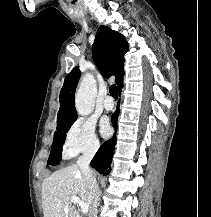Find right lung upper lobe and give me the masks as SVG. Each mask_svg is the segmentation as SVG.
<instances>
[{"label": "right lung upper lobe", "mask_w": 211, "mask_h": 217, "mask_svg": "<svg viewBox=\"0 0 211 217\" xmlns=\"http://www.w3.org/2000/svg\"><path fill=\"white\" fill-rule=\"evenodd\" d=\"M93 59L106 78L115 75L118 88L123 85L124 54L128 51V44L123 35L100 26L92 47ZM80 78L79 67L76 66L65 78L60 92V109L57 116V128L77 119L75 109V90Z\"/></svg>", "instance_id": "cb5924a9"}]
</instances>
